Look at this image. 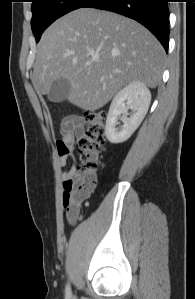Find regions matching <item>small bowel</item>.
I'll use <instances>...</instances> for the list:
<instances>
[{
  "mask_svg": "<svg viewBox=\"0 0 195 299\" xmlns=\"http://www.w3.org/2000/svg\"><path fill=\"white\" fill-rule=\"evenodd\" d=\"M84 132V119L82 117L74 116L65 119L61 125L62 137L58 143V165L64 167L69 158H73V146L78 138L82 136ZM75 177V164L70 169L62 174L64 190H68V183L71 182ZM64 191V192H65ZM67 220L71 224L77 223L81 219L79 213L75 217L66 215Z\"/></svg>",
  "mask_w": 195,
  "mask_h": 299,
  "instance_id": "obj_1",
  "label": "small bowel"
}]
</instances>
